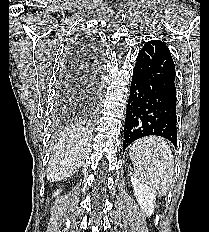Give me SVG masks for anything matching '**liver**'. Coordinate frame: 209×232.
<instances>
[{
    "instance_id": "obj_1",
    "label": "liver",
    "mask_w": 209,
    "mask_h": 232,
    "mask_svg": "<svg viewBox=\"0 0 209 232\" xmlns=\"http://www.w3.org/2000/svg\"><path fill=\"white\" fill-rule=\"evenodd\" d=\"M89 147V139L81 131L71 130L61 135L49 161L47 179L61 181L76 173L83 165Z\"/></svg>"
}]
</instances>
